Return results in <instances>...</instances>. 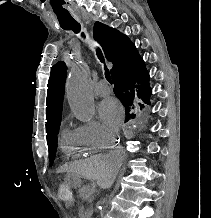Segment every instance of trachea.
Instances as JSON below:
<instances>
[{"label": "trachea", "instance_id": "1", "mask_svg": "<svg viewBox=\"0 0 211 218\" xmlns=\"http://www.w3.org/2000/svg\"><path fill=\"white\" fill-rule=\"evenodd\" d=\"M63 30H72L74 33H79L81 30V27L78 24V25H73V26H67V27L63 28ZM97 56H98L99 60L104 64V71H105L106 80L109 83H112L110 72H109L107 66L105 65V60H104L103 54L99 48L97 49Z\"/></svg>", "mask_w": 211, "mask_h": 218}]
</instances>
